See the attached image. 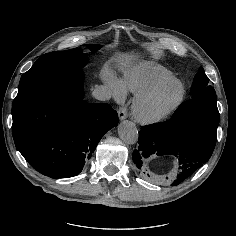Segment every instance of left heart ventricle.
Segmentation results:
<instances>
[{"label":"left heart ventricle","instance_id":"1","mask_svg":"<svg viewBox=\"0 0 236 236\" xmlns=\"http://www.w3.org/2000/svg\"><path fill=\"white\" fill-rule=\"evenodd\" d=\"M178 92L179 87L176 84L162 88L144 103V111L151 115L161 112L176 98Z\"/></svg>","mask_w":236,"mask_h":236}]
</instances>
